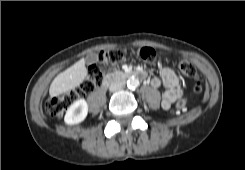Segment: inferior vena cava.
I'll return each instance as SVG.
<instances>
[{
	"mask_svg": "<svg viewBox=\"0 0 245 170\" xmlns=\"http://www.w3.org/2000/svg\"><path fill=\"white\" fill-rule=\"evenodd\" d=\"M124 86H125V82L124 81H115V82L110 84L109 90L111 92H116V91L121 90Z\"/></svg>",
	"mask_w": 245,
	"mask_h": 170,
	"instance_id": "602c4592",
	"label": "inferior vena cava"
}]
</instances>
